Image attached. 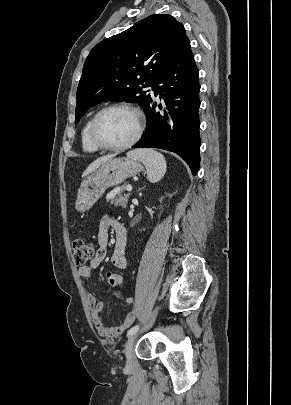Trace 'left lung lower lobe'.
Listing matches in <instances>:
<instances>
[{
	"label": "left lung lower lobe",
	"mask_w": 291,
	"mask_h": 405,
	"mask_svg": "<svg viewBox=\"0 0 291 405\" xmlns=\"http://www.w3.org/2000/svg\"><path fill=\"white\" fill-rule=\"evenodd\" d=\"M198 76L199 70L186 37L153 84L155 96L160 94L168 112H157L156 102L150 99L145 109L147 132L133 146L174 152L186 161L193 175L200 166ZM177 98L181 100L177 101Z\"/></svg>",
	"instance_id": "1"
}]
</instances>
